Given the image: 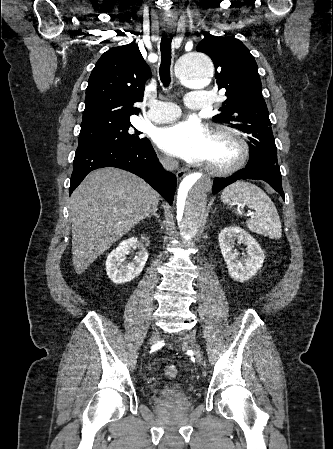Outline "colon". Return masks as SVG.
I'll return each instance as SVG.
<instances>
[{
    "label": "colon",
    "mask_w": 333,
    "mask_h": 449,
    "mask_svg": "<svg viewBox=\"0 0 333 449\" xmlns=\"http://www.w3.org/2000/svg\"><path fill=\"white\" fill-rule=\"evenodd\" d=\"M164 373H165V375H166L167 377H169V378H174V377L177 376L178 370H177V368H176L174 365H167V366L164 368Z\"/></svg>",
    "instance_id": "5ec220e1"
}]
</instances>
